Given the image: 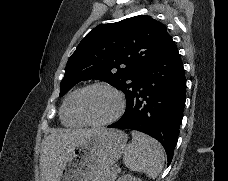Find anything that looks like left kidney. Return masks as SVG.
<instances>
[{
  "label": "left kidney",
  "mask_w": 228,
  "mask_h": 181,
  "mask_svg": "<svg viewBox=\"0 0 228 181\" xmlns=\"http://www.w3.org/2000/svg\"><path fill=\"white\" fill-rule=\"evenodd\" d=\"M118 181H141V179H136V177H131V175H123V177H119Z\"/></svg>",
  "instance_id": "obj_1"
}]
</instances>
